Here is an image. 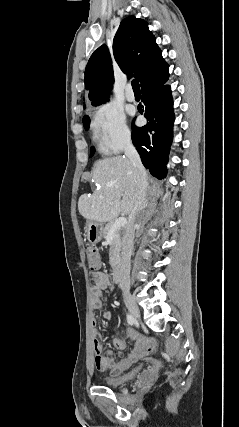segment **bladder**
Returning a JSON list of instances; mask_svg holds the SVG:
<instances>
[{"mask_svg": "<svg viewBox=\"0 0 239 427\" xmlns=\"http://www.w3.org/2000/svg\"><path fill=\"white\" fill-rule=\"evenodd\" d=\"M138 372H139V369L135 368V369L131 370L130 372L123 374V375L105 376L103 378V382L105 385L111 386V387L120 386V385L127 383L130 380H132L137 375Z\"/></svg>", "mask_w": 239, "mask_h": 427, "instance_id": "bladder-1", "label": "bladder"}]
</instances>
